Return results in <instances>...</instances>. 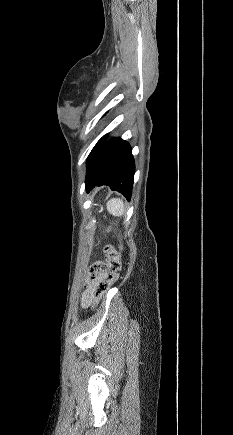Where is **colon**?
I'll return each instance as SVG.
<instances>
[{
	"label": "colon",
	"instance_id": "colon-1",
	"mask_svg": "<svg viewBox=\"0 0 233 435\" xmlns=\"http://www.w3.org/2000/svg\"><path fill=\"white\" fill-rule=\"evenodd\" d=\"M104 258L94 262L88 271L85 284L96 285L92 307L97 306L102 296L112 289V284L118 278L120 268V253L111 244H106L103 249ZM103 273H110V278L105 280L101 276Z\"/></svg>",
	"mask_w": 233,
	"mask_h": 435
}]
</instances>
